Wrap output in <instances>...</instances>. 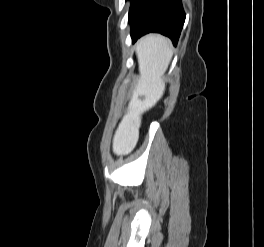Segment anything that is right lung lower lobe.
<instances>
[{
    "instance_id": "98d812e1",
    "label": "right lung lower lobe",
    "mask_w": 264,
    "mask_h": 247,
    "mask_svg": "<svg viewBox=\"0 0 264 247\" xmlns=\"http://www.w3.org/2000/svg\"><path fill=\"white\" fill-rule=\"evenodd\" d=\"M185 21L181 0H132L129 10L131 36L135 42L142 35L158 32L176 45Z\"/></svg>"
}]
</instances>
